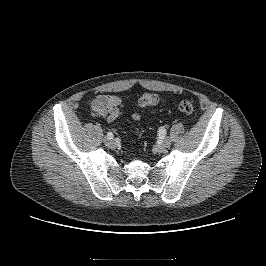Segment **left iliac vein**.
<instances>
[{"instance_id": "4c4485c4", "label": "left iliac vein", "mask_w": 266, "mask_h": 266, "mask_svg": "<svg viewBox=\"0 0 266 266\" xmlns=\"http://www.w3.org/2000/svg\"><path fill=\"white\" fill-rule=\"evenodd\" d=\"M171 145V140L169 138H163L161 142V147L162 148H168Z\"/></svg>"}]
</instances>
